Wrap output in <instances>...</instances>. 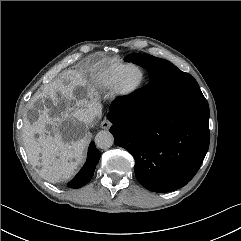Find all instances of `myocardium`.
<instances>
[{"instance_id":"obj_1","label":"myocardium","mask_w":241,"mask_h":241,"mask_svg":"<svg viewBox=\"0 0 241 241\" xmlns=\"http://www.w3.org/2000/svg\"><path fill=\"white\" fill-rule=\"evenodd\" d=\"M131 68H137L140 71L141 76L136 83L126 84L123 78L126 72ZM145 79H146V72L141 66L137 64H132V63L128 64L116 76L114 85L112 87L114 96L121 101L129 100L142 89Z\"/></svg>"}]
</instances>
